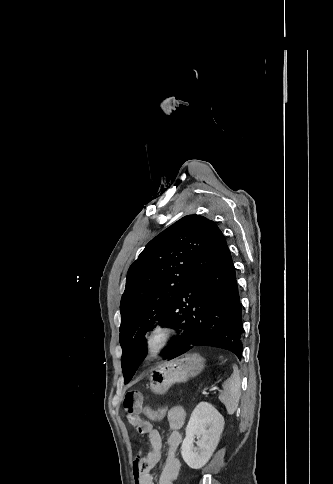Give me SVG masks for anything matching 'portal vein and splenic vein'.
I'll return each mask as SVG.
<instances>
[{
  "mask_svg": "<svg viewBox=\"0 0 333 484\" xmlns=\"http://www.w3.org/2000/svg\"><path fill=\"white\" fill-rule=\"evenodd\" d=\"M215 389V387L203 389L202 394L207 396L209 394V391H213Z\"/></svg>",
  "mask_w": 333,
  "mask_h": 484,
  "instance_id": "1",
  "label": "portal vein and splenic vein"
}]
</instances>
